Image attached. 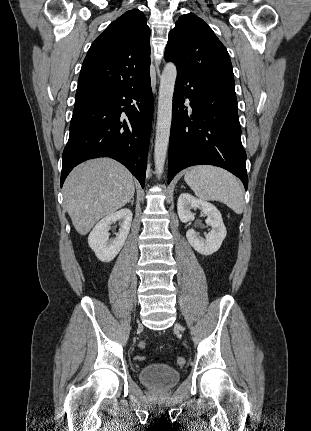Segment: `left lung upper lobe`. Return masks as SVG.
Returning a JSON list of instances; mask_svg holds the SVG:
<instances>
[{
  "mask_svg": "<svg viewBox=\"0 0 311 431\" xmlns=\"http://www.w3.org/2000/svg\"><path fill=\"white\" fill-rule=\"evenodd\" d=\"M165 59L178 71L200 80L235 85L225 46L212 29L193 13L182 15L169 33Z\"/></svg>",
  "mask_w": 311,
  "mask_h": 431,
  "instance_id": "left-lung-upper-lobe-1",
  "label": "left lung upper lobe"
}]
</instances>
